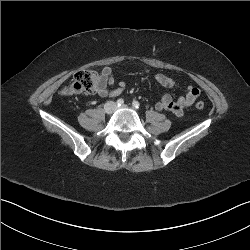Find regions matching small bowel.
<instances>
[{"label":"small bowel","mask_w":250,"mask_h":250,"mask_svg":"<svg viewBox=\"0 0 250 250\" xmlns=\"http://www.w3.org/2000/svg\"><path fill=\"white\" fill-rule=\"evenodd\" d=\"M143 71L147 74L150 73L148 68H143ZM153 80L159 85L172 89L176 86V79L166 76L161 73L153 75ZM115 84L112 69L109 66L103 67L101 71V78L97 87V94L102 98L117 97L125 90V83L119 82L114 89H110ZM200 91L194 86H188L185 94L180 96L176 100L172 98L170 94H164L161 99L156 102L155 108L159 111H170L178 117L184 115V112L189 108L194 101L199 97Z\"/></svg>","instance_id":"1"}]
</instances>
